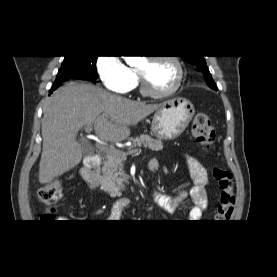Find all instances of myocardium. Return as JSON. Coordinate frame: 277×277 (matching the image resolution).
I'll return each instance as SVG.
<instances>
[{
	"mask_svg": "<svg viewBox=\"0 0 277 277\" xmlns=\"http://www.w3.org/2000/svg\"><path fill=\"white\" fill-rule=\"evenodd\" d=\"M157 60L168 61L175 68V71H176L175 81L169 89L162 92H153L147 87L145 78L139 70H137V75H138V80L140 85V91L144 96L154 98V99H163L173 95L179 89L183 81L184 70L178 57H175L172 55H159V56L149 57L147 59V61H157Z\"/></svg>",
	"mask_w": 277,
	"mask_h": 277,
	"instance_id": "f54148a6",
	"label": "myocardium"
}]
</instances>
